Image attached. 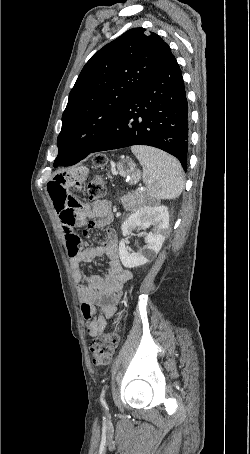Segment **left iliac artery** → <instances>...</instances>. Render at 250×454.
I'll return each instance as SVG.
<instances>
[{
  "instance_id": "1",
  "label": "left iliac artery",
  "mask_w": 250,
  "mask_h": 454,
  "mask_svg": "<svg viewBox=\"0 0 250 454\" xmlns=\"http://www.w3.org/2000/svg\"><path fill=\"white\" fill-rule=\"evenodd\" d=\"M105 393H106V388H104L101 392V395H100L101 403H105Z\"/></svg>"
}]
</instances>
